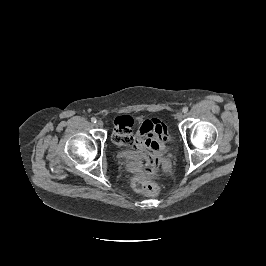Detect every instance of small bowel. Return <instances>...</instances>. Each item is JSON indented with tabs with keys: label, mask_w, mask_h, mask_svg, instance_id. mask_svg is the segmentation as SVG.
Wrapping results in <instances>:
<instances>
[{
	"label": "small bowel",
	"mask_w": 266,
	"mask_h": 266,
	"mask_svg": "<svg viewBox=\"0 0 266 266\" xmlns=\"http://www.w3.org/2000/svg\"><path fill=\"white\" fill-rule=\"evenodd\" d=\"M133 119L130 116H119L114 120L113 140L120 146H131L137 158L130 164L133 173L152 174L159 165L166 147L167 128L158 119L144 120L135 134L132 133ZM145 160L142 167L141 160Z\"/></svg>",
	"instance_id": "small-bowel-1"
}]
</instances>
